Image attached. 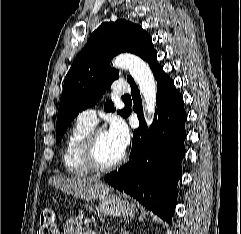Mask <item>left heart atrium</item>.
Returning <instances> with one entry per match:
<instances>
[{"mask_svg":"<svg viewBox=\"0 0 241 234\" xmlns=\"http://www.w3.org/2000/svg\"><path fill=\"white\" fill-rule=\"evenodd\" d=\"M107 134L114 144L124 152L129 143V131L124 121L118 117H112Z\"/></svg>","mask_w":241,"mask_h":234,"instance_id":"obj_1","label":"left heart atrium"}]
</instances>
